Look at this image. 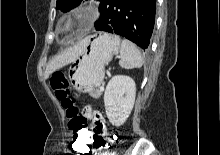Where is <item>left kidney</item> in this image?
Listing matches in <instances>:
<instances>
[{"mask_svg":"<svg viewBox=\"0 0 220 155\" xmlns=\"http://www.w3.org/2000/svg\"><path fill=\"white\" fill-rule=\"evenodd\" d=\"M136 85L129 76L116 75L107 84L104 104L109 122L116 127L125 123L135 101Z\"/></svg>","mask_w":220,"mask_h":155,"instance_id":"obj_1","label":"left kidney"}]
</instances>
